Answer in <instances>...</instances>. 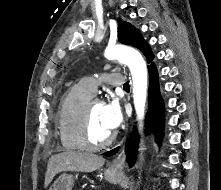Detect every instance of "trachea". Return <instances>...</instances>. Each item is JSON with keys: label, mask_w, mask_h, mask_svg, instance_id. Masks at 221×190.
Segmentation results:
<instances>
[{"label": "trachea", "mask_w": 221, "mask_h": 190, "mask_svg": "<svg viewBox=\"0 0 221 190\" xmlns=\"http://www.w3.org/2000/svg\"><path fill=\"white\" fill-rule=\"evenodd\" d=\"M123 88H124V89H129V84H128V83H125L124 86H123Z\"/></svg>", "instance_id": "obj_1"}]
</instances>
